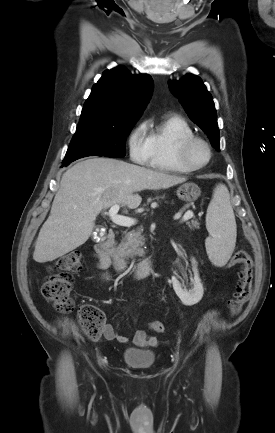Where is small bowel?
Instances as JSON below:
<instances>
[{"label":"small bowel","instance_id":"small-bowel-1","mask_svg":"<svg viewBox=\"0 0 275 433\" xmlns=\"http://www.w3.org/2000/svg\"><path fill=\"white\" fill-rule=\"evenodd\" d=\"M98 259V266L101 269H106L110 264L107 259L99 255L98 253L95 254ZM104 337L107 340H116L120 343H127L129 341V338L125 335L119 334L116 332L115 328L111 324H105L103 328ZM133 343L140 347H156L158 345V340L148 335L144 331H137L133 337Z\"/></svg>","mask_w":275,"mask_h":433}]
</instances>
